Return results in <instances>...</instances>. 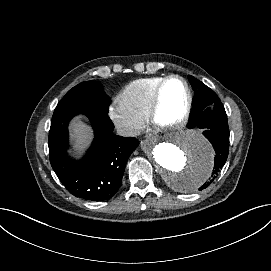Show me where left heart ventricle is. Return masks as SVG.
Here are the masks:
<instances>
[{"label":"left heart ventricle","mask_w":271,"mask_h":271,"mask_svg":"<svg viewBox=\"0 0 271 271\" xmlns=\"http://www.w3.org/2000/svg\"><path fill=\"white\" fill-rule=\"evenodd\" d=\"M187 100V89L183 82L177 79L168 82L162 95V120L171 121L177 118L184 111Z\"/></svg>","instance_id":"left-heart-ventricle-1"}]
</instances>
